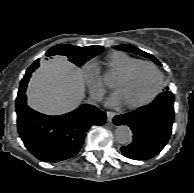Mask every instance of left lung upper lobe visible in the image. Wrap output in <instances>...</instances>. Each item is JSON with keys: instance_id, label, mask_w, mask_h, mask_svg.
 <instances>
[{"instance_id": "5c2ea615", "label": "left lung upper lobe", "mask_w": 194, "mask_h": 193, "mask_svg": "<svg viewBox=\"0 0 194 193\" xmlns=\"http://www.w3.org/2000/svg\"><path fill=\"white\" fill-rule=\"evenodd\" d=\"M114 48L118 49V50H123V51H126V52H131V53H135V54L144 56L146 58L151 59L157 65L161 66V63L153 55H151L149 53H146V52L140 50L137 47H134V46H131V45H118V46H114ZM167 90H168V88H167Z\"/></svg>"}]
</instances>
